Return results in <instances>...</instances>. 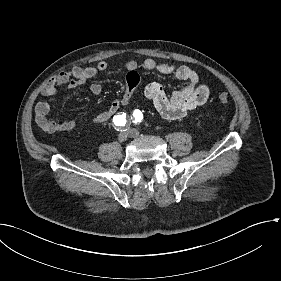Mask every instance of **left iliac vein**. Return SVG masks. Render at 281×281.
Wrapping results in <instances>:
<instances>
[{
	"mask_svg": "<svg viewBox=\"0 0 281 281\" xmlns=\"http://www.w3.org/2000/svg\"><path fill=\"white\" fill-rule=\"evenodd\" d=\"M129 137H138L140 132L137 129L131 128L128 130Z\"/></svg>",
	"mask_w": 281,
	"mask_h": 281,
	"instance_id": "obj_1",
	"label": "left iliac vein"
}]
</instances>
